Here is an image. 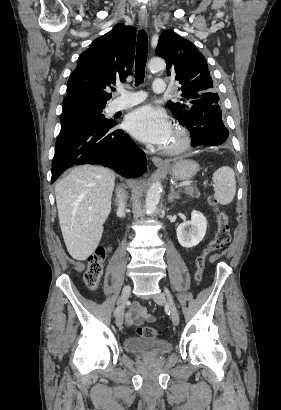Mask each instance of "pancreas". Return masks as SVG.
<instances>
[{
	"label": "pancreas",
	"instance_id": "pancreas-1",
	"mask_svg": "<svg viewBox=\"0 0 281 410\" xmlns=\"http://www.w3.org/2000/svg\"><path fill=\"white\" fill-rule=\"evenodd\" d=\"M183 193L186 195H189L192 198H199L200 197V192L197 190L196 187H193L191 185L187 186L184 188Z\"/></svg>",
	"mask_w": 281,
	"mask_h": 410
}]
</instances>
